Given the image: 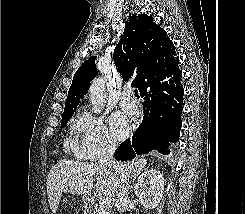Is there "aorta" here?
I'll use <instances>...</instances> for the list:
<instances>
[{"label":"aorta","instance_id":"762f6f07","mask_svg":"<svg viewBox=\"0 0 245 214\" xmlns=\"http://www.w3.org/2000/svg\"><path fill=\"white\" fill-rule=\"evenodd\" d=\"M89 99L94 113H100L106 103L105 82L102 77L94 79L89 89Z\"/></svg>","mask_w":245,"mask_h":214}]
</instances>
